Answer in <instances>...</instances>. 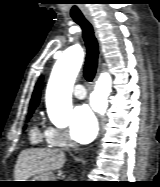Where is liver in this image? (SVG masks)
<instances>
[{
  "instance_id": "1",
  "label": "liver",
  "mask_w": 160,
  "mask_h": 187,
  "mask_svg": "<svg viewBox=\"0 0 160 187\" xmlns=\"http://www.w3.org/2000/svg\"><path fill=\"white\" fill-rule=\"evenodd\" d=\"M65 154L61 150L27 149L20 153L15 166V181H27L63 167Z\"/></svg>"
}]
</instances>
